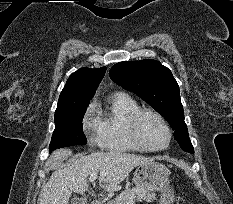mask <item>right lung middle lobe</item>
Wrapping results in <instances>:
<instances>
[{"label":"right lung middle lobe","mask_w":233,"mask_h":204,"mask_svg":"<svg viewBox=\"0 0 233 204\" xmlns=\"http://www.w3.org/2000/svg\"><path fill=\"white\" fill-rule=\"evenodd\" d=\"M88 105L57 107L55 111V130L52 135L49 152L56 148L85 145L82 119Z\"/></svg>","instance_id":"1"}]
</instances>
